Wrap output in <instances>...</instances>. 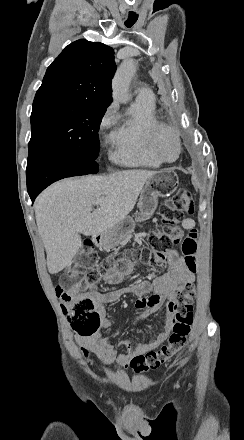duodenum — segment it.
I'll return each instance as SVG.
<instances>
[{
  "mask_svg": "<svg viewBox=\"0 0 244 440\" xmlns=\"http://www.w3.org/2000/svg\"><path fill=\"white\" fill-rule=\"evenodd\" d=\"M110 240H111V233L109 231L106 233H99L94 237V241L96 245H98L99 247L108 246Z\"/></svg>",
  "mask_w": 244,
  "mask_h": 440,
  "instance_id": "1",
  "label": "duodenum"
}]
</instances>
